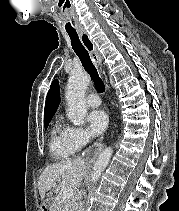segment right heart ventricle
I'll list each match as a JSON object with an SVG mask.
<instances>
[{
  "instance_id": "1",
  "label": "right heart ventricle",
  "mask_w": 179,
  "mask_h": 211,
  "mask_svg": "<svg viewBox=\"0 0 179 211\" xmlns=\"http://www.w3.org/2000/svg\"><path fill=\"white\" fill-rule=\"evenodd\" d=\"M49 150L55 160L67 159L76 150L68 138V127L59 119L54 122L51 129Z\"/></svg>"
}]
</instances>
